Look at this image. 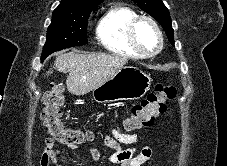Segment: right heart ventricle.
Instances as JSON below:
<instances>
[{"label":"right heart ventricle","mask_w":227,"mask_h":166,"mask_svg":"<svg viewBox=\"0 0 227 166\" xmlns=\"http://www.w3.org/2000/svg\"><path fill=\"white\" fill-rule=\"evenodd\" d=\"M136 16L137 13L126 5L114 4L109 7L96 26V37L102 47L117 55L140 58L127 39V26Z\"/></svg>","instance_id":"1"}]
</instances>
